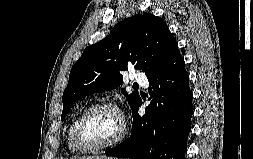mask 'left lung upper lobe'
Segmentation results:
<instances>
[{
    "instance_id": "left-lung-upper-lobe-1",
    "label": "left lung upper lobe",
    "mask_w": 253,
    "mask_h": 159,
    "mask_svg": "<svg viewBox=\"0 0 253 159\" xmlns=\"http://www.w3.org/2000/svg\"><path fill=\"white\" fill-rule=\"evenodd\" d=\"M178 45L166 23L152 14L134 15L119 22L100 42L87 47L73 66L64 90L61 119L82 97L117 88L128 67L145 72L147 77L161 70L178 52ZM126 95V91L121 89ZM133 110L138 93L126 95Z\"/></svg>"
}]
</instances>
